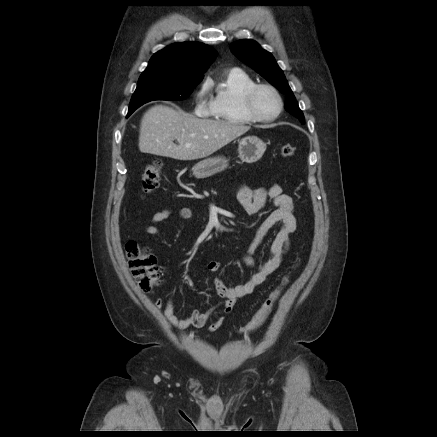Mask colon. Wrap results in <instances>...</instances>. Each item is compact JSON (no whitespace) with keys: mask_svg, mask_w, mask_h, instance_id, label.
Returning a JSON list of instances; mask_svg holds the SVG:
<instances>
[{"mask_svg":"<svg viewBox=\"0 0 437 437\" xmlns=\"http://www.w3.org/2000/svg\"><path fill=\"white\" fill-rule=\"evenodd\" d=\"M295 153L296 147L290 144L281 147V155L283 157H291L294 156ZM161 170L162 162L158 159L152 161L144 168L141 179V190L143 194H151L158 188ZM125 252L131 273L139 288L145 293H150L159 284L161 277L155 256L135 240H129L126 243ZM288 281V277L284 278L281 286L270 294L252 319L245 326L240 328L239 332L241 334H250L265 322Z\"/></svg>","mask_w":437,"mask_h":437,"instance_id":"5ec220e1","label":"colon"}]
</instances>
